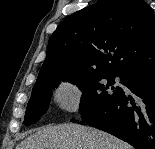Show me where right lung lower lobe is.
Instances as JSON below:
<instances>
[{"label":"right lung lower lobe","mask_w":155,"mask_h":149,"mask_svg":"<svg viewBox=\"0 0 155 149\" xmlns=\"http://www.w3.org/2000/svg\"><path fill=\"white\" fill-rule=\"evenodd\" d=\"M123 84L132 95L122 90L100 114L81 124L108 132L136 149H155V67L127 73Z\"/></svg>","instance_id":"obj_1"}]
</instances>
